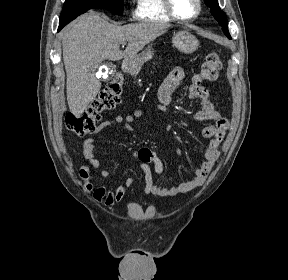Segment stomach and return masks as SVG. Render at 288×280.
Here are the masks:
<instances>
[{"mask_svg":"<svg viewBox=\"0 0 288 280\" xmlns=\"http://www.w3.org/2000/svg\"><path fill=\"white\" fill-rule=\"evenodd\" d=\"M172 43L175 48L184 54L193 53L199 45L197 38L187 30L175 33L172 37ZM153 54L152 47L148 46L142 53L126 58L125 63L129 68L138 71L145 62L153 57Z\"/></svg>","mask_w":288,"mask_h":280,"instance_id":"1","label":"stomach"}]
</instances>
